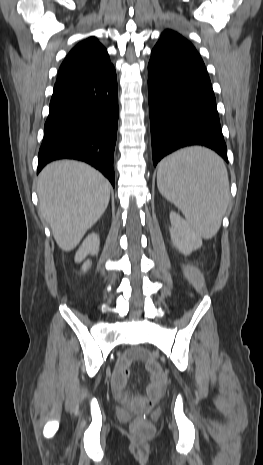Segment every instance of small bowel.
Instances as JSON below:
<instances>
[{
	"label": "small bowel",
	"mask_w": 263,
	"mask_h": 465,
	"mask_svg": "<svg viewBox=\"0 0 263 465\" xmlns=\"http://www.w3.org/2000/svg\"><path fill=\"white\" fill-rule=\"evenodd\" d=\"M138 357V352L130 351L126 353L118 362L113 376H112V388L117 396L121 401H133L134 399L138 398H131L126 390L127 382L129 377V366L130 364ZM164 384V377L158 370L152 371L151 377V386H159L163 387Z\"/></svg>",
	"instance_id": "1"
}]
</instances>
